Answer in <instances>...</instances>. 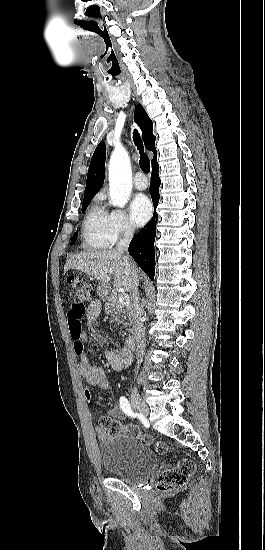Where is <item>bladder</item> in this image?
<instances>
[{
	"label": "bladder",
	"instance_id": "obj_1",
	"mask_svg": "<svg viewBox=\"0 0 265 550\" xmlns=\"http://www.w3.org/2000/svg\"><path fill=\"white\" fill-rule=\"evenodd\" d=\"M103 468L126 482H137L158 465L157 454L136 438L116 436L99 448Z\"/></svg>",
	"mask_w": 265,
	"mask_h": 550
}]
</instances>
